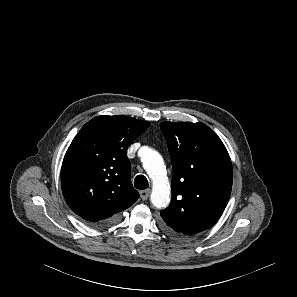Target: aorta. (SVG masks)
Wrapping results in <instances>:
<instances>
[{"label": "aorta", "instance_id": "762f6f07", "mask_svg": "<svg viewBox=\"0 0 297 297\" xmlns=\"http://www.w3.org/2000/svg\"><path fill=\"white\" fill-rule=\"evenodd\" d=\"M143 168L152 181L151 202L156 208H164L169 202L170 185L167 180L165 165L161 155L154 150H147L142 156Z\"/></svg>", "mask_w": 297, "mask_h": 297}]
</instances>
